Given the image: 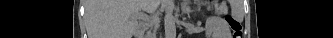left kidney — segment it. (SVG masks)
<instances>
[{
	"label": "left kidney",
	"instance_id": "obj_1",
	"mask_svg": "<svg viewBox=\"0 0 333 38\" xmlns=\"http://www.w3.org/2000/svg\"><path fill=\"white\" fill-rule=\"evenodd\" d=\"M229 28L225 21L219 16L205 17V34L213 38H226Z\"/></svg>",
	"mask_w": 333,
	"mask_h": 38
}]
</instances>
